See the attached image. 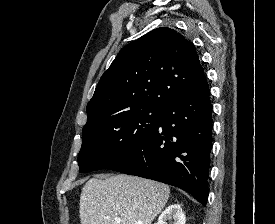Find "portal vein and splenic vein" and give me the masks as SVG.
<instances>
[{"instance_id":"18ae733b","label":"portal vein and splenic vein","mask_w":275,"mask_h":224,"mask_svg":"<svg viewBox=\"0 0 275 224\" xmlns=\"http://www.w3.org/2000/svg\"><path fill=\"white\" fill-rule=\"evenodd\" d=\"M115 221L120 224L121 223V219L120 218H115ZM137 224H142V223H137Z\"/></svg>"}]
</instances>
